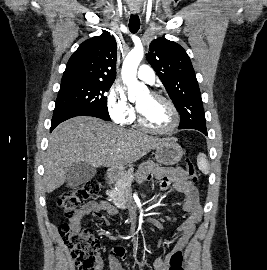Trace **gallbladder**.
Here are the masks:
<instances>
[{
  "label": "gallbladder",
  "instance_id": "1",
  "mask_svg": "<svg viewBox=\"0 0 267 270\" xmlns=\"http://www.w3.org/2000/svg\"><path fill=\"white\" fill-rule=\"evenodd\" d=\"M97 170L86 163H74L66 171V184L70 187L79 186L95 177Z\"/></svg>",
  "mask_w": 267,
  "mask_h": 270
}]
</instances>
